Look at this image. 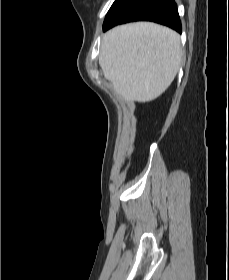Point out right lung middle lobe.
Returning <instances> with one entry per match:
<instances>
[{
	"label": "right lung middle lobe",
	"mask_w": 229,
	"mask_h": 280,
	"mask_svg": "<svg viewBox=\"0 0 229 280\" xmlns=\"http://www.w3.org/2000/svg\"><path fill=\"white\" fill-rule=\"evenodd\" d=\"M115 2H116V1H115ZM115 2H114V3H115ZM114 3H113V5H114ZM113 5H112V7H113ZM112 7L110 8V10L112 9ZM110 10H109V12H110ZM109 12H108V13H109Z\"/></svg>",
	"instance_id": "dd1d6c3e"
}]
</instances>
